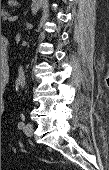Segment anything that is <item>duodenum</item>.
Returning a JSON list of instances; mask_svg holds the SVG:
<instances>
[{"mask_svg": "<svg viewBox=\"0 0 109 170\" xmlns=\"http://www.w3.org/2000/svg\"><path fill=\"white\" fill-rule=\"evenodd\" d=\"M1 53L4 58V62H7V40L2 39L1 40Z\"/></svg>", "mask_w": 109, "mask_h": 170, "instance_id": "1", "label": "duodenum"}]
</instances>
